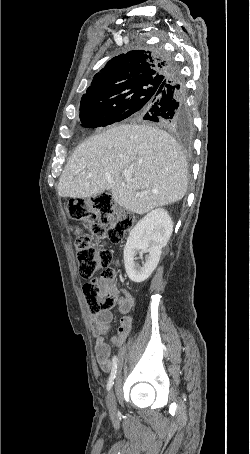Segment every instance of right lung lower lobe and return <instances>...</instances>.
Here are the masks:
<instances>
[{"mask_svg": "<svg viewBox=\"0 0 250 454\" xmlns=\"http://www.w3.org/2000/svg\"><path fill=\"white\" fill-rule=\"evenodd\" d=\"M163 56L169 63L171 73L159 87L157 98L138 118L159 123L176 132H185L192 127L185 83L175 62L167 55Z\"/></svg>", "mask_w": 250, "mask_h": 454, "instance_id": "1", "label": "right lung lower lobe"}]
</instances>
